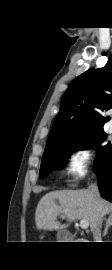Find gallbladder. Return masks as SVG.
Wrapping results in <instances>:
<instances>
[{
	"label": "gallbladder",
	"instance_id": "obj_1",
	"mask_svg": "<svg viewBox=\"0 0 112 270\" xmlns=\"http://www.w3.org/2000/svg\"><path fill=\"white\" fill-rule=\"evenodd\" d=\"M57 239L60 241H70L73 239L71 233L67 232L66 230H60L57 233Z\"/></svg>",
	"mask_w": 112,
	"mask_h": 270
}]
</instances>
